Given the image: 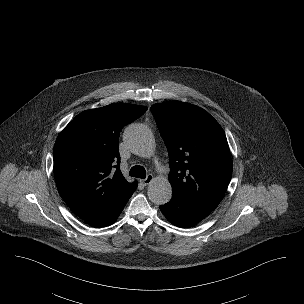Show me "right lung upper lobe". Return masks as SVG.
I'll list each match as a JSON object with an SVG mask.
<instances>
[{"mask_svg":"<svg viewBox=\"0 0 304 304\" xmlns=\"http://www.w3.org/2000/svg\"><path fill=\"white\" fill-rule=\"evenodd\" d=\"M147 107L110 104L78 114L59 134L54 145L57 189L69 208L94 223L136 183L120 171L119 134L142 116Z\"/></svg>","mask_w":304,"mask_h":304,"instance_id":"right-lung-upper-lobe-1","label":"right lung upper lobe"}]
</instances>
